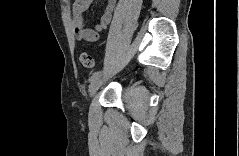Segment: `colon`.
<instances>
[{"mask_svg":"<svg viewBox=\"0 0 239 156\" xmlns=\"http://www.w3.org/2000/svg\"><path fill=\"white\" fill-rule=\"evenodd\" d=\"M80 62L81 64L86 67V68H93L95 66V61L93 59V57L88 54L87 52H82L80 54Z\"/></svg>","mask_w":239,"mask_h":156,"instance_id":"colon-1","label":"colon"}]
</instances>
